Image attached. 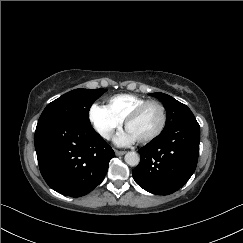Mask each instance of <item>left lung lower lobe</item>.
<instances>
[{"mask_svg": "<svg viewBox=\"0 0 243 243\" xmlns=\"http://www.w3.org/2000/svg\"><path fill=\"white\" fill-rule=\"evenodd\" d=\"M200 142V126L189 116L162 131L139 150L140 163L132 174L144 190L168 195L181 188L194 173Z\"/></svg>", "mask_w": 243, "mask_h": 243, "instance_id": "0a47b994", "label": "left lung lower lobe"}]
</instances>
